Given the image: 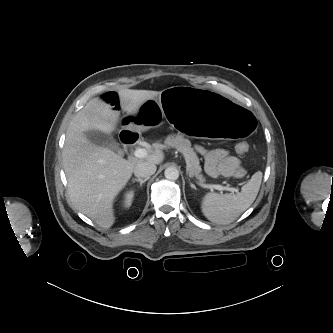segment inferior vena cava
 <instances>
[{"instance_id":"inferior-vena-cava-1","label":"inferior vena cava","mask_w":333,"mask_h":333,"mask_svg":"<svg viewBox=\"0 0 333 333\" xmlns=\"http://www.w3.org/2000/svg\"><path fill=\"white\" fill-rule=\"evenodd\" d=\"M156 172V165L149 162L138 163L134 168V174L137 177L149 178Z\"/></svg>"}]
</instances>
